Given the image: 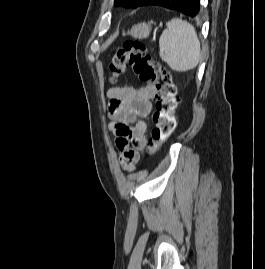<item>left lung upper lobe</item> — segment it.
<instances>
[{
	"label": "left lung upper lobe",
	"instance_id": "1",
	"mask_svg": "<svg viewBox=\"0 0 265 269\" xmlns=\"http://www.w3.org/2000/svg\"><path fill=\"white\" fill-rule=\"evenodd\" d=\"M144 0H115L116 6H123L128 8H137Z\"/></svg>",
	"mask_w": 265,
	"mask_h": 269
}]
</instances>
